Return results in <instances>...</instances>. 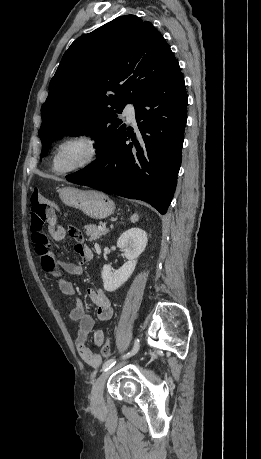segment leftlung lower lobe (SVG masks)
Listing matches in <instances>:
<instances>
[{
    "mask_svg": "<svg viewBox=\"0 0 261 459\" xmlns=\"http://www.w3.org/2000/svg\"><path fill=\"white\" fill-rule=\"evenodd\" d=\"M185 82L176 61L136 103V133L129 128L93 167L66 179L130 199L143 200L165 214L181 165L187 121ZM131 139L132 143L126 144Z\"/></svg>",
    "mask_w": 261,
    "mask_h": 459,
    "instance_id": "0a47b994",
    "label": "left lung lower lobe"
}]
</instances>
